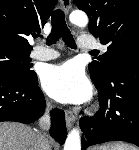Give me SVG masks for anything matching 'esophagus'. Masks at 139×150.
Instances as JSON below:
<instances>
[{
	"label": "esophagus",
	"instance_id": "34e87169",
	"mask_svg": "<svg viewBox=\"0 0 139 150\" xmlns=\"http://www.w3.org/2000/svg\"><path fill=\"white\" fill-rule=\"evenodd\" d=\"M60 3H61V8L64 11V13L68 14L70 7H71V0H60ZM75 120H76V115L68 110L66 112V126L68 129L72 127Z\"/></svg>",
	"mask_w": 139,
	"mask_h": 150
}]
</instances>
